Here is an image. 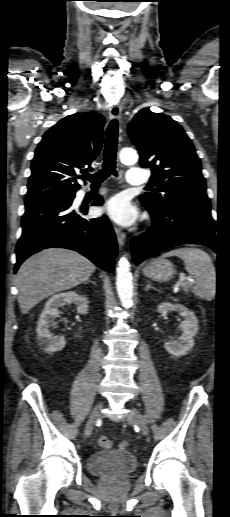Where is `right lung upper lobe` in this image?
Wrapping results in <instances>:
<instances>
[{
	"label": "right lung upper lobe",
	"instance_id": "1",
	"mask_svg": "<svg viewBox=\"0 0 230 517\" xmlns=\"http://www.w3.org/2000/svg\"><path fill=\"white\" fill-rule=\"evenodd\" d=\"M104 118L97 112L75 113L51 127L31 164L25 203L75 194L76 172L96 158L103 139Z\"/></svg>",
	"mask_w": 230,
	"mask_h": 517
}]
</instances>
